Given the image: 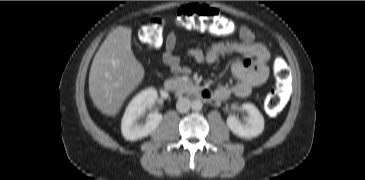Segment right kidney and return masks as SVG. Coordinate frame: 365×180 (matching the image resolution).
I'll return each mask as SVG.
<instances>
[{
    "label": "right kidney",
    "instance_id": "obj_1",
    "mask_svg": "<svg viewBox=\"0 0 365 180\" xmlns=\"http://www.w3.org/2000/svg\"><path fill=\"white\" fill-rule=\"evenodd\" d=\"M163 98L168 97V93L160 90ZM158 99V92L155 88H148L137 94L126 108L121 123L123 137L129 141H135L148 136L156 130L162 121L160 113H151L145 124H138V118L143 115L148 106H151Z\"/></svg>",
    "mask_w": 365,
    "mask_h": 180
}]
</instances>
